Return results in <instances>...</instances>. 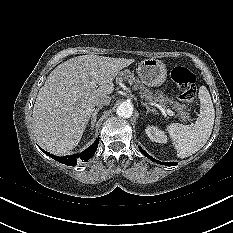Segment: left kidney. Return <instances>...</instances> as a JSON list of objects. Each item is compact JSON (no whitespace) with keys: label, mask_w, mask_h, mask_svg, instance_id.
Returning <instances> with one entry per match:
<instances>
[{"label":"left kidney","mask_w":233,"mask_h":233,"mask_svg":"<svg viewBox=\"0 0 233 233\" xmlns=\"http://www.w3.org/2000/svg\"><path fill=\"white\" fill-rule=\"evenodd\" d=\"M145 132L150 140L153 142H158L162 144L167 142V136L165 135V133L158 129V127L156 126H148L145 129Z\"/></svg>","instance_id":"1"}]
</instances>
